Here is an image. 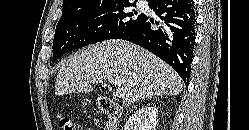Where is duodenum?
<instances>
[{
  "label": "duodenum",
  "instance_id": "1",
  "mask_svg": "<svg viewBox=\"0 0 249 130\" xmlns=\"http://www.w3.org/2000/svg\"><path fill=\"white\" fill-rule=\"evenodd\" d=\"M100 110L107 116L106 130H118V124L122 115V108L107 97L98 99Z\"/></svg>",
  "mask_w": 249,
  "mask_h": 130
}]
</instances>
